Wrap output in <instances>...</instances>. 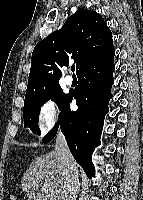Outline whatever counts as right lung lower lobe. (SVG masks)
<instances>
[{
	"label": "right lung lower lobe",
	"instance_id": "98d812e1",
	"mask_svg": "<svg viewBox=\"0 0 143 200\" xmlns=\"http://www.w3.org/2000/svg\"><path fill=\"white\" fill-rule=\"evenodd\" d=\"M114 55L115 49L112 47L83 66L77 74L78 87L74 93L68 94L60 108L59 121L43 138L44 143L52 140L61 125L73 157L90 178L95 173L91 156L100 144L104 118L112 98ZM73 98L77 100V111L70 109Z\"/></svg>",
	"mask_w": 143,
	"mask_h": 200
}]
</instances>
